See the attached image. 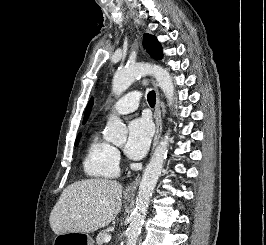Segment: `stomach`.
<instances>
[{"label":"stomach","instance_id":"0dacf381","mask_svg":"<svg viewBox=\"0 0 266 245\" xmlns=\"http://www.w3.org/2000/svg\"><path fill=\"white\" fill-rule=\"evenodd\" d=\"M130 201V197H126ZM57 242H72L73 245H93L94 241L88 233H56Z\"/></svg>","mask_w":266,"mask_h":245}]
</instances>
